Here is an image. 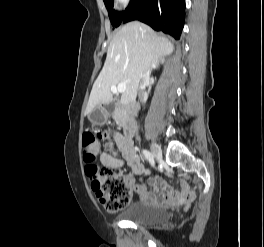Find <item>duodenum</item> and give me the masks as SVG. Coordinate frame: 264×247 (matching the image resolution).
I'll return each mask as SVG.
<instances>
[{"label": "duodenum", "instance_id": "obj_1", "mask_svg": "<svg viewBox=\"0 0 264 247\" xmlns=\"http://www.w3.org/2000/svg\"><path fill=\"white\" fill-rule=\"evenodd\" d=\"M138 110L136 104H130L127 110V116L121 121L123 132L127 136H132L136 132L135 115Z\"/></svg>", "mask_w": 264, "mask_h": 247}]
</instances>
